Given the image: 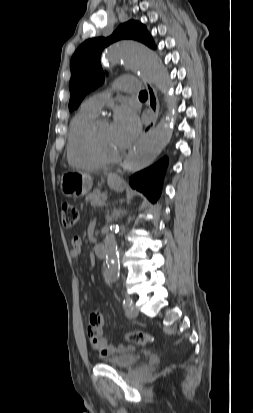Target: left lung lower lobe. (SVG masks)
I'll return each instance as SVG.
<instances>
[{
	"label": "left lung lower lobe",
	"instance_id": "0a47b994",
	"mask_svg": "<svg viewBox=\"0 0 253 413\" xmlns=\"http://www.w3.org/2000/svg\"><path fill=\"white\" fill-rule=\"evenodd\" d=\"M167 159L163 158L153 166L136 173L129 180L132 188L143 192L149 200L156 202L161 193Z\"/></svg>",
	"mask_w": 253,
	"mask_h": 413
}]
</instances>
